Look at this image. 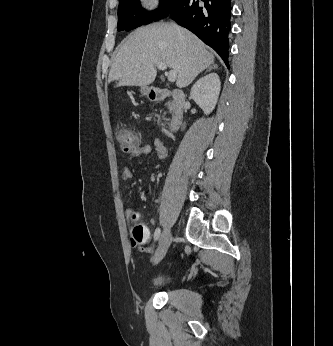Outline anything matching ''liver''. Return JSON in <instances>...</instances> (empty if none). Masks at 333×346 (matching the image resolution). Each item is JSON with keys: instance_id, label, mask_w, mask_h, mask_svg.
I'll list each match as a JSON object with an SVG mask.
<instances>
[{"instance_id": "6515ba94", "label": "liver", "mask_w": 333, "mask_h": 346, "mask_svg": "<svg viewBox=\"0 0 333 346\" xmlns=\"http://www.w3.org/2000/svg\"><path fill=\"white\" fill-rule=\"evenodd\" d=\"M162 62L177 73L176 86H188L214 63L205 44L187 29L173 23H155L132 32L119 46L108 83L146 87L157 75Z\"/></svg>"}]
</instances>
